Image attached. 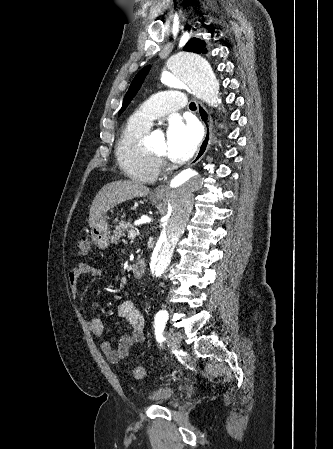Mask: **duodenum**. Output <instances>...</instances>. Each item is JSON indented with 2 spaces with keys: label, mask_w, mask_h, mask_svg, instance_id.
I'll return each instance as SVG.
<instances>
[{
  "label": "duodenum",
  "mask_w": 333,
  "mask_h": 449,
  "mask_svg": "<svg viewBox=\"0 0 333 449\" xmlns=\"http://www.w3.org/2000/svg\"><path fill=\"white\" fill-rule=\"evenodd\" d=\"M132 272L136 279H140L145 273V262L137 260L132 266Z\"/></svg>",
  "instance_id": "duodenum-1"
}]
</instances>
